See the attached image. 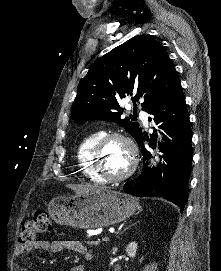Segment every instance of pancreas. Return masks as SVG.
<instances>
[{"label":"pancreas","mask_w":221,"mask_h":271,"mask_svg":"<svg viewBox=\"0 0 221 271\" xmlns=\"http://www.w3.org/2000/svg\"><path fill=\"white\" fill-rule=\"evenodd\" d=\"M87 247H100L102 244V239H89L88 241H82Z\"/></svg>","instance_id":"obj_1"}]
</instances>
